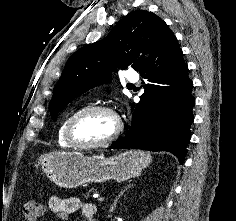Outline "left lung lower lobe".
Returning a JSON list of instances; mask_svg holds the SVG:
<instances>
[{
    "label": "left lung lower lobe",
    "mask_w": 236,
    "mask_h": 221,
    "mask_svg": "<svg viewBox=\"0 0 236 221\" xmlns=\"http://www.w3.org/2000/svg\"><path fill=\"white\" fill-rule=\"evenodd\" d=\"M139 73L145 79L144 93L133 112L129 132L112 149L167 151L182 164L190 141L195 101L188 66L171 30L163 34Z\"/></svg>",
    "instance_id": "0a47b994"
}]
</instances>
